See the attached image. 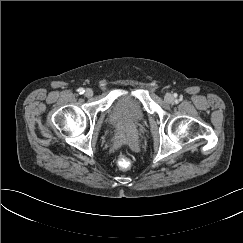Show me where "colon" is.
<instances>
[{"mask_svg":"<svg viewBox=\"0 0 243 243\" xmlns=\"http://www.w3.org/2000/svg\"><path fill=\"white\" fill-rule=\"evenodd\" d=\"M118 166L123 170H128L131 167V161L126 155L121 154L118 158Z\"/></svg>","mask_w":243,"mask_h":243,"instance_id":"colon-1","label":"colon"}]
</instances>
